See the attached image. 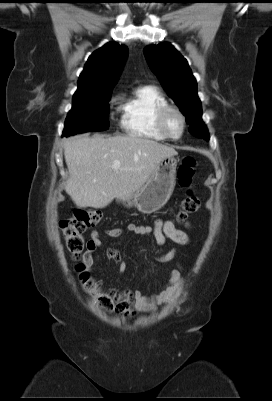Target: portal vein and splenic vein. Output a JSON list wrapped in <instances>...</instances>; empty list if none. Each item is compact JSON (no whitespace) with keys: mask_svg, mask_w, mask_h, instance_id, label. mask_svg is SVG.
I'll list each match as a JSON object with an SVG mask.
<instances>
[{"mask_svg":"<svg viewBox=\"0 0 272 401\" xmlns=\"http://www.w3.org/2000/svg\"><path fill=\"white\" fill-rule=\"evenodd\" d=\"M119 166H120V162H119V161H114V162H113V168H114V169H118Z\"/></svg>","mask_w":272,"mask_h":401,"instance_id":"obj_1","label":"portal vein and splenic vein"}]
</instances>
